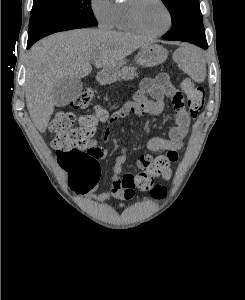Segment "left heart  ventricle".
I'll return each mask as SVG.
<instances>
[{"label": "left heart ventricle", "instance_id": "left-heart-ventricle-1", "mask_svg": "<svg viewBox=\"0 0 245 300\" xmlns=\"http://www.w3.org/2000/svg\"><path fill=\"white\" fill-rule=\"evenodd\" d=\"M140 17L145 28L152 32L161 31L168 23L165 10L155 0H145L141 6Z\"/></svg>", "mask_w": 245, "mask_h": 300}]
</instances>
